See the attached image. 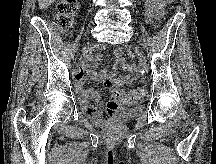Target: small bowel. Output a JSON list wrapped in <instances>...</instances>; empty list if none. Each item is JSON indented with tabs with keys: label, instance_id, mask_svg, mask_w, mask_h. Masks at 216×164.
<instances>
[{
	"label": "small bowel",
	"instance_id": "1",
	"mask_svg": "<svg viewBox=\"0 0 216 164\" xmlns=\"http://www.w3.org/2000/svg\"><path fill=\"white\" fill-rule=\"evenodd\" d=\"M163 4V0H147V16L151 19L158 18ZM116 57L126 72L123 76H118L116 73H109L107 71L96 72L95 67L100 60L99 55H94L86 59L82 67L74 72L76 90L82 107L94 118L106 119L111 117L118 108V103L112 98L106 106L100 102V94L98 91L84 87L87 82L84 73H87L93 80L103 83L109 82L112 86L129 84L137 74L135 66L123 59L121 49L116 50Z\"/></svg>",
	"mask_w": 216,
	"mask_h": 164
}]
</instances>
